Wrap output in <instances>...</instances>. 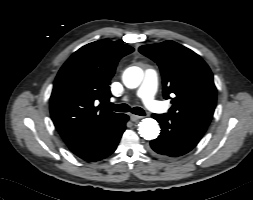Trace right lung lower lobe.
Here are the masks:
<instances>
[{
    "label": "right lung lower lobe",
    "instance_id": "right-lung-lower-lobe-1",
    "mask_svg": "<svg viewBox=\"0 0 253 200\" xmlns=\"http://www.w3.org/2000/svg\"><path fill=\"white\" fill-rule=\"evenodd\" d=\"M128 116L121 114L117 120L100 133L76 142L69 149L81 159L94 162L106 158L113 153L125 131Z\"/></svg>",
    "mask_w": 253,
    "mask_h": 200
}]
</instances>
